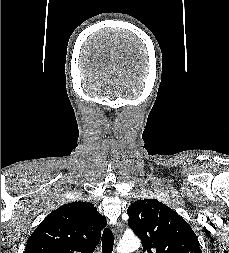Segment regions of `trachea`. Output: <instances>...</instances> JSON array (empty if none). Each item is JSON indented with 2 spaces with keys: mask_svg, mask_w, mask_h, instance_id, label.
Segmentation results:
<instances>
[{
  "mask_svg": "<svg viewBox=\"0 0 229 253\" xmlns=\"http://www.w3.org/2000/svg\"><path fill=\"white\" fill-rule=\"evenodd\" d=\"M114 244V235L111 229L106 228L102 234V252L112 253Z\"/></svg>",
  "mask_w": 229,
  "mask_h": 253,
  "instance_id": "trachea-1",
  "label": "trachea"
}]
</instances>
